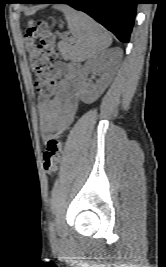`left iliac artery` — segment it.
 <instances>
[{
    "label": "left iliac artery",
    "instance_id": "1",
    "mask_svg": "<svg viewBox=\"0 0 166 267\" xmlns=\"http://www.w3.org/2000/svg\"><path fill=\"white\" fill-rule=\"evenodd\" d=\"M49 231L51 233H53V231H54V222H52V221L49 223Z\"/></svg>",
    "mask_w": 166,
    "mask_h": 267
}]
</instances>
